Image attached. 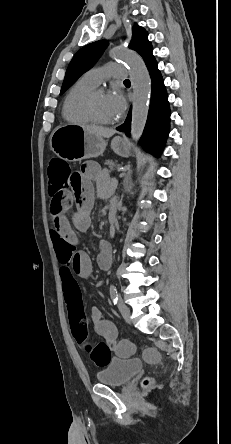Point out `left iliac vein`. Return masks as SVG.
Masks as SVG:
<instances>
[{
  "label": "left iliac vein",
  "mask_w": 231,
  "mask_h": 444,
  "mask_svg": "<svg viewBox=\"0 0 231 444\" xmlns=\"http://www.w3.org/2000/svg\"><path fill=\"white\" fill-rule=\"evenodd\" d=\"M117 307L121 315L123 316L124 320L129 323L131 321L130 320L131 312L128 306L121 300V298H119L118 300Z\"/></svg>",
  "instance_id": "4c4485c4"
}]
</instances>
